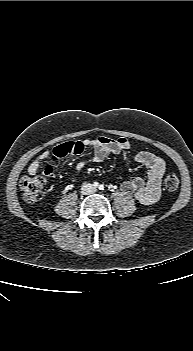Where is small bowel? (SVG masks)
<instances>
[{"label":"small bowel","mask_w":193,"mask_h":351,"mask_svg":"<svg viewBox=\"0 0 193 351\" xmlns=\"http://www.w3.org/2000/svg\"><path fill=\"white\" fill-rule=\"evenodd\" d=\"M131 148L130 142L123 137L111 139L105 136H99L93 139L76 140L70 142L59 143L56 147L49 151L42 152L28 166V173L35 175L41 167L43 160L50 155L54 161L64 160L66 157L79 156L86 149H92L93 154L91 161L101 162L111 154H120ZM134 161L143 165L147 169L145 179L135 177L124 182L121 190L128 195H133L138 201L144 204H152L156 202L160 196L161 179L166 171L165 161L157 155L140 151L134 155ZM87 160H81L76 165L77 173H80L86 165ZM44 172L48 177L55 174L54 167L51 164L44 165ZM78 176L74 177L77 180Z\"/></svg>","instance_id":"obj_1"}]
</instances>
